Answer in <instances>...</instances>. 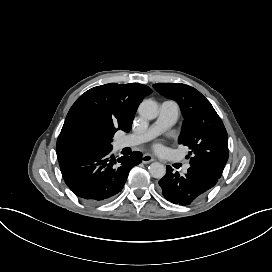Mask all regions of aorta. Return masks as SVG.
Wrapping results in <instances>:
<instances>
[{
  "instance_id": "obj_1",
  "label": "aorta",
  "mask_w": 272,
  "mask_h": 272,
  "mask_svg": "<svg viewBox=\"0 0 272 272\" xmlns=\"http://www.w3.org/2000/svg\"><path fill=\"white\" fill-rule=\"evenodd\" d=\"M138 113L147 119H155L158 116V104L152 99H145L139 105ZM149 173L156 179H161L166 174V168L159 162H153L149 166Z\"/></svg>"
}]
</instances>
